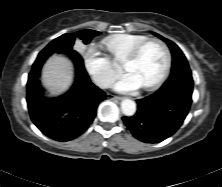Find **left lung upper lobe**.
<instances>
[{
    "label": "left lung upper lobe",
    "instance_id": "obj_1",
    "mask_svg": "<svg viewBox=\"0 0 222 187\" xmlns=\"http://www.w3.org/2000/svg\"><path fill=\"white\" fill-rule=\"evenodd\" d=\"M157 37L161 38L163 41H165L172 53V69H171V75L175 76L183 71H190L188 62L186 57L184 56L183 52L180 50V48L173 43L172 41L154 33Z\"/></svg>",
    "mask_w": 222,
    "mask_h": 187
}]
</instances>
